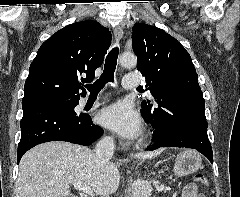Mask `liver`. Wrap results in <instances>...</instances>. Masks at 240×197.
<instances>
[{"instance_id":"1","label":"liver","mask_w":240,"mask_h":197,"mask_svg":"<svg viewBox=\"0 0 240 197\" xmlns=\"http://www.w3.org/2000/svg\"><path fill=\"white\" fill-rule=\"evenodd\" d=\"M161 151L137 154L151 159ZM121 163L100 161L93 150L69 142L40 144L24 154L19 164L15 197H75L70 185L81 183L97 195L115 193Z\"/></svg>"}]
</instances>
